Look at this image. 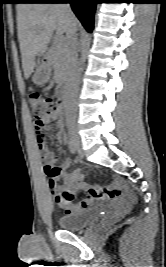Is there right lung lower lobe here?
Here are the masks:
<instances>
[{
    "mask_svg": "<svg viewBox=\"0 0 166 267\" xmlns=\"http://www.w3.org/2000/svg\"><path fill=\"white\" fill-rule=\"evenodd\" d=\"M70 3L72 10L88 32H92L94 25V12L97 0H33L18 3Z\"/></svg>",
    "mask_w": 166,
    "mask_h": 267,
    "instance_id": "right-lung-lower-lobe-1",
    "label": "right lung lower lobe"
}]
</instances>
